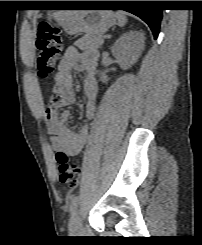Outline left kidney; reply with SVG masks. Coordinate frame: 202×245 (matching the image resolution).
<instances>
[{"label": "left kidney", "mask_w": 202, "mask_h": 245, "mask_svg": "<svg viewBox=\"0 0 202 245\" xmlns=\"http://www.w3.org/2000/svg\"><path fill=\"white\" fill-rule=\"evenodd\" d=\"M145 47V34L139 31H130L123 34L112 47V54L123 69L130 68L141 56ZM102 82H107L108 77L102 74Z\"/></svg>", "instance_id": "obj_1"}]
</instances>
